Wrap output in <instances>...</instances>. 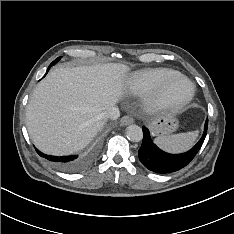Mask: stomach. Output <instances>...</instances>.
<instances>
[{"label": "stomach", "instance_id": "1", "mask_svg": "<svg viewBox=\"0 0 234 234\" xmlns=\"http://www.w3.org/2000/svg\"><path fill=\"white\" fill-rule=\"evenodd\" d=\"M178 119L173 114L161 115L155 118L149 128L155 136H167L176 131L179 124Z\"/></svg>", "mask_w": 234, "mask_h": 234}]
</instances>
